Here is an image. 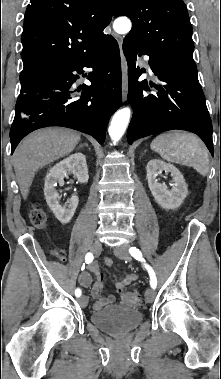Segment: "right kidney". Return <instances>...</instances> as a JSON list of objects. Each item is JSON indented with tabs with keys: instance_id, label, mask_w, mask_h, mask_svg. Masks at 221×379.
Returning a JSON list of instances; mask_svg holds the SVG:
<instances>
[{
	"instance_id": "1",
	"label": "right kidney",
	"mask_w": 221,
	"mask_h": 379,
	"mask_svg": "<svg viewBox=\"0 0 221 379\" xmlns=\"http://www.w3.org/2000/svg\"><path fill=\"white\" fill-rule=\"evenodd\" d=\"M74 174L80 183H87L89 179L86 157L82 153H75L55 164L45 178L44 195L46 202L55 217L67 224L72 219L79 203L77 196H72L67 207H62L58 201L57 184L63 185L68 173Z\"/></svg>"
}]
</instances>
